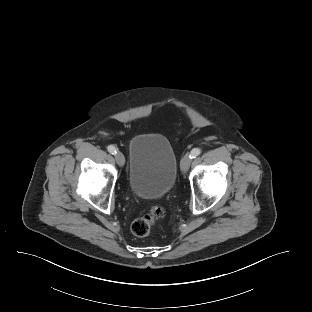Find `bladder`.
Here are the masks:
<instances>
[{"mask_svg":"<svg viewBox=\"0 0 312 312\" xmlns=\"http://www.w3.org/2000/svg\"><path fill=\"white\" fill-rule=\"evenodd\" d=\"M177 175V159L169 140L161 134H141L129 144L128 185L143 199L166 195Z\"/></svg>","mask_w":312,"mask_h":312,"instance_id":"31cf9c89","label":"bladder"}]
</instances>
